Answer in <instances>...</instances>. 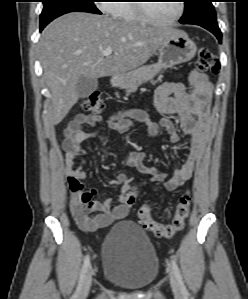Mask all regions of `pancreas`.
Segmentation results:
<instances>
[{"mask_svg": "<svg viewBox=\"0 0 248 299\" xmlns=\"http://www.w3.org/2000/svg\"><path fill=\"white\" fill-rule=\"evenodd\" d=\"M137 90V86H132L130 88H127V94H130L132 92H135Z\"/></svg>", "mask_w": 248, "mask_h": 299, "instance_id": "obj_1", "label": "pancreas"}]
</instances>
